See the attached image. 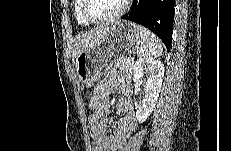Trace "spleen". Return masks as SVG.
Instances as JSON below:
<instances>
[{"label": "spleen", "mask_w": 231, "mask_h": 151, "mask_svg": "<svg viewBox=\"0 0 231 151\" xmlns=\"http://www.w3.org/2000/svg\"><path fill=\"white\" fill-rule=\"evenodd\" d=\"M137 30L141 38L138 54L142 58L153 59L161 56L163 48L159 38L147 28L138 25Z\"/></svg>", "instance_id": "obj_1"}]
</instances>
